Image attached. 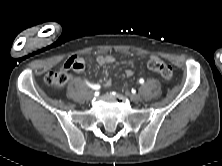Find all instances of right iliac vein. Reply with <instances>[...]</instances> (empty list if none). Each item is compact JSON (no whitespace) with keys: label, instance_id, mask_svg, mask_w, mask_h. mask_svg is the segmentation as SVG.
I'll return each instance as SVG.
<instances>
[{"label":"right iliac vein","instance_id":"obj_1","mask_svg":"<svg viewBox=\"0 0 222 166\" xmlns=\"http://www.w3.org/2000/svg\"><path fill=\"white\" fill-rule=\"evenodd\" d=\"M87 99L91 100L94 97V92L93 91H88L86 94Z\"/></svg>","mask_w":222,"mask_h":166}]
</instances>
